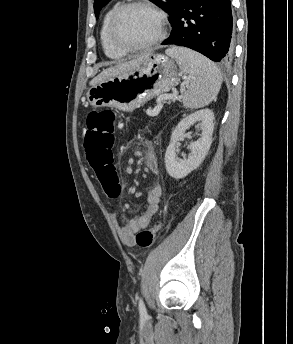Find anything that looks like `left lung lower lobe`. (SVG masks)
I'll list each match as a JSON object with an SVG mask.
<instances>
[{
    "label": "left lung lower lobe",
    "instance_id": "0a47b994",
    "mask_svg": "<svg viewBox=\"0 0 293 344\" xmlns=\"http://www.w3.org/2000/svg\"><path fill=\"white\" fill-rule=\"evenodd\" d=\"M172 32L162 42L191 48L215 62L233 55V17L230 0H180L171 22Z\"/></svg>",
    "mask_w": 293,
    "mask_h": 344
}]
</instances>
